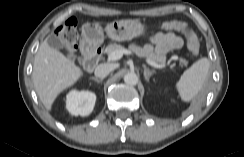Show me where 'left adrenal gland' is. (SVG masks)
Segmentation results:
<instances>
[{
  "instance_id": "a2214340",
  "label": "left adrenal gland",
  "mask_w": 244,
  "mask_h": 157,
  "mask_svg": "<svg viewBox=\"0 0 244 157\" xmlns=\"http://www.w3.org/2000/svg\"><path fill=\"white\" fill-rule=\"evenodd\" d=\"M143 68H144V77H145V80L149 82L150 77L155 73V71L148 69L146 67V65H143Z\"/></svg>"
}]
</instances>
